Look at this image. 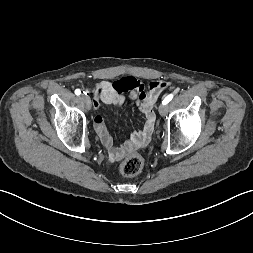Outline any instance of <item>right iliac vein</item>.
Masks as SVG:
<instances>
[{
	"label": "right iliac vein",
	"mask_w": 253,
	"mask_h": 253,
	"mask_svg": "<svg viewBox=\"0 0 253 253\" xmlns=\"http://www.w3.org/2000/svg\"><path fill=\"white\" fill-rule=\"evenodd\" d=\"M80 98L84 101V103L86 105V108L88 110H90L91 109V100H90V98L86 95H81Z\"/></svg>",
	"instance_id": "right-iliac-vein-1"
}]
</instances>
